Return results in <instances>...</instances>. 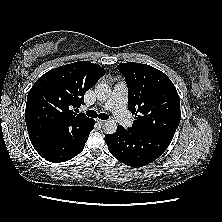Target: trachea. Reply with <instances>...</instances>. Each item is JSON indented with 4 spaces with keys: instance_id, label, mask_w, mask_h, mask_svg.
I'll list each match as a JSON object with an SVG mask.
<instances>
[{
    "instance_id": "3493384b",
    "label": "trachea",
    "mask_w": 222,
    "mask_h": 222,
    "mask_svg": "<svg viewBox=\"0 0 222 222\" xmlns=\"http://www.w3.org/2000/svg\"><path fill=\"white\" fill-rule=\"evenodd\" d=\"M86 115L89 116V117H92V118L99 117L101 120H107L109 118V116L107 114H105V113L97 114V112L94 111V110L87 111Z\"/></svg>"
}]
</instances>
